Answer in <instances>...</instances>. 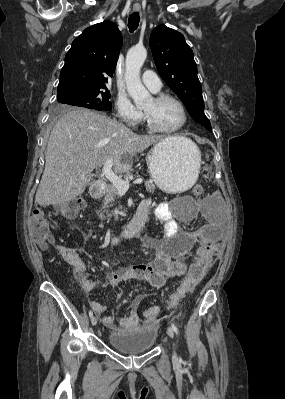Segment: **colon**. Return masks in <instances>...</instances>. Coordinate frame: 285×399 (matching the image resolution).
<instances>
[{
  "label": "colon",
  "instance_id": "5ec220e1",
  "mask_svg": "<svg viewBox=\"0 0 285 399\" xmlns=\"http://www.w3.org/2000/svg\"><path fill=\"white\" fill-rule=\"evenodd\" d=\"M192 193L194 196H201L203 193V189L201 186L197 185L192 189ZM83 207L84 203L82 201L71 200L61 205L60 208L53 211L50 216H47V214L42 210L33 211L28 221L31 237L42 248H47L51 246L53 244V241L50 236V230L52 227L50 218L55 217L59 214H67L71 217H74ZM210 253L211 249H208L206 251L205 258L196 261L190 265L187 276L182 281V285L178 292L179 294L185 293L196 281H198L202 277L207 268ZM160 311L161 308L157 305L144 309L142 311L143 322L153 323L157 320Z\"/></svg>",
  "mask_w": 285,
  "mask_h": 399
}]
</instances>
